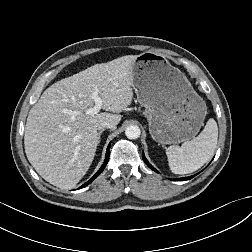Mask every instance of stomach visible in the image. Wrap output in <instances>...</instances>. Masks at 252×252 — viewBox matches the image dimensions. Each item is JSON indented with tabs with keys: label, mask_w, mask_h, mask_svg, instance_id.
Returning <instances> with one entry per match:
<instances>
[{
	"label": "stomach",
	"mask_w": 252,
	"mask_h": 252,
	"mask_svg": "<svg viewBox=\"0 0 252 252\" xmlns=\"http://www.w3.org/2000/svg\"><path fill=\"white\" fill-rule=\"evenodd\" d=\"M132 83L156 142L178 144L198 134L207 114L205 101L164 55L148 51L135 56Z\"/></svg>",
	"instance_id": "stomach-1"
}]
</instances>
